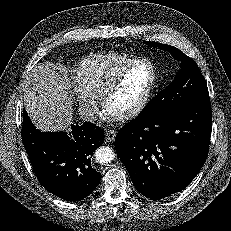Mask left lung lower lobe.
Listing matches in <instances>:
<instances>
[{"instance_id":"left-lung-lower-lobe-1","label":"left lung lower lobe","mask_w":231,"mask_h":231,"mask_svg":"<svg viewBox=\"0 0 231 231\" xmlns=\"http://www.w3.org/2000/svg\"><path fill=\"white\" fill-rule=\"evenodd\" d=\"M210 102L191 103L148 119L136 117L115 138L117 154L136 189L162 199L185 189L208 156Z\"/></svg>"}]
</instances>
